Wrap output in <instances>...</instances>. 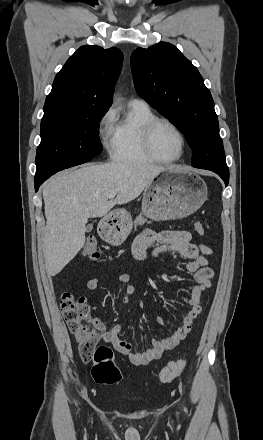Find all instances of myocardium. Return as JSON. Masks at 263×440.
<instances>
[{
  "mask_svg": "<svg viewBox=\"0 0 263 440\" xmlns=\"http://www.w3.org/2000/svg\"><path fill=\"white\" fill-rule=\"evenodd\" d=\"M161 123L169 125L175 132L178 134L181 140V151L179 155L172 159H163L158 157L152 148V134L154 129ZM141 145L145 154L154 162L162 163V164H170L175 163L181 160L186 152L187 148V139L182 132V130L170 119L165 117H154L153 119L146 122L141 129Z\"/></svg>",
  "mask_w": 263,
  "mask_h": 440,
  "instance_id": "obj_1",
  "label": "myocardium"
}]
</instances>
